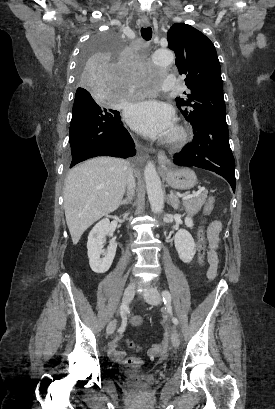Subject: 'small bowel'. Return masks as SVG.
I'll return each mask as SVG.
<instances>
[{
    "instance_id": "obj_1",
    "label": "small bowel",
    "mask_w": 275,
    "mask_h": 409,
    "mask_svg": "<svg viewBox=\"0 0 275 409\" xmlns=\"http://www.w3.org/2000/svg\"><path fill=\"white\" fill-rule=\"evenodd\" d=\"M221 230V224L219 221H214L209 228V251H208V261L210 267H215L217 270L218 255L217 249L219 244V232ZM209 279H213L215 276H210L208 273ZM144 323V319L140 316H134L130 319V324L134 327L141 326ZM118 338L111 341L109 345V355L110 357L118 362H122L128 366H139L143 364V361L137 357H127L125 352L118 348Z\"/></svg>"
}]
</instances>
